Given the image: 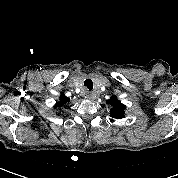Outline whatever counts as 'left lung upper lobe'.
<instances>
[{
	"label": "left lung upper lobe",
	"mask_w": 178,
	"mask_h": 178,
	"mask_svg": "<svg viewBox=\"0 0 178 178\" xmlns=\"http://www.w3.org/2000/svg\"><path fill=\"white\" fill-rule=\"evenodd\" d=\"M107 104L111 105L112 108L110 109V115L113 118L121 119L125 116V105L122 104L116 96L111 97L109 100L106 101Z\"/></svg>",
	"instance_id": "obj_1"
}]
</instances>
